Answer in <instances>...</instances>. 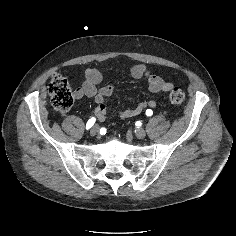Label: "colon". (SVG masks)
Segmentation results:
<instances>
[{
  "mask_svg": "<svg viewBox=\"0 0 236 236\" xmlns=\"http://www.w3.org/2000/svg\"><path fill=\"white\" fill-rule=\"evenodd\" d=\"M48 91L52 105L59 111H67L71 108L74 95L67 79L59 74L54 75L48 85ZM169 99L173 104H180L185 99V93L180 88H174Z\"/></svg>",
  "mask_w": 236,
  "mask_h": 236,
  "instance_id": "obj_1",
  "label": "colon"
}]
</instances>
